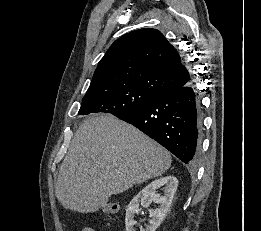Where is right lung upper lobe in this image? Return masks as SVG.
Returning <instances> with one entry per match:
<instances>
[{"label":"right lung upper lobe","mask_w":261,"mask_h":231,"mask_svg":"<svg viewBox=\"0 0 261 231\" xmlns=\"http://www.w3.org/2000/svg\"><path fill=\"white\" fill-rule=\"evenodd\" d=\"M192 80L177 50L156 29H139L117 39L99 61L87 93L128 86L157 97Z\"/></svg>","instance_id":"obj_1"}]
</instances>
